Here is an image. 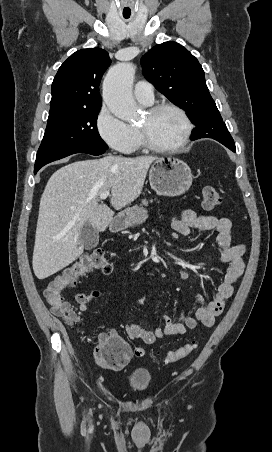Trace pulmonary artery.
I'll list each match as a JSON object with an SVG mask.
<instances>
[{
	"instance_id": "pulmonary-artery-1",
	"label": "pulmonary artery",
	"mask_w": 272,
	"mask_h": 452,
	"mask_svg": "<svg viewBox=\"0 0 272 452\" xmlns=\"http://www.w3.org/2000/svg\"><path fill=\"white\" fill-rule=\"evenodd\" d=\"M135 98L145 104L150 105L154 100L153 86L145 81H139L134 88Z\"/></svg>"
}]
</instances>
